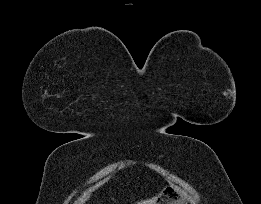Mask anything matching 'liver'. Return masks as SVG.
I'll list each match as a JSON object with an SVG mask.
<instances>
[{"mask_svg": "<svg viewBox=\"0 0 261 204\" xmlns=\"http://www.w3.org/2000/svg\"><path fill=\"white\" fill-rule=\"evenodd\" d=\"M90 195L88 194H84L82 198H80V202H85L88 198H89ZM158 197L155 196L151 199H147V200H144V201H141V202H138L137 204H154V202L156 201Z\"/></svg>", "mask_w": 261, "mask_h": 204, "instance_id": "1", "label": "liver"}]
</instances>
